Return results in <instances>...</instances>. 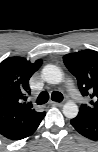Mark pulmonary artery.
<instances>
[{
  "label": "pulmonary artery",
  "mask_w": 98,
  "mask_h": 152,
  "mask_svg": "<svg viewBox=\"0 0 98 152\" xmlns=\"http://www.w3.org/2000/svg\"><path fill=\"white\" fill-rule=\"evenodd\" d=\"M66 86L69 92V95L72 97L73 100L79 101L80 100V95L77 93V90L74 86V83L72 80L68 79L66 82Z\"/></svg>",
  "instance_id": "obj_1"
}]
</instances>
